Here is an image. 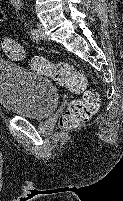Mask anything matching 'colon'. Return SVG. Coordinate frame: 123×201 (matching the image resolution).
Segmentation results:
<instances>
[{
	"label": "colon",
	"instance_id": "1",
	"mask_svg": "<svg viewBox=\"0 0 123 201\" xmlns=\"http://www.w3.org/2000/svg\"><path fill=\"white\" fill-rule=\"evenodd\" d=\"M4 54L13 61H21L25 57L22 46L13 38L2 40ZM31 67L38 73L52 78L60 86L66 87L73 92H84L82 99H76L69 103L60 117V124L64 129L76 128L87 122L97 112L100 99L93 90L86 89L85 76L76 71L70 64H54L45 58L35 57Z\"/></svg>",
	"mask_w": 123,
	"mask_h": 201
}]
</instances>
